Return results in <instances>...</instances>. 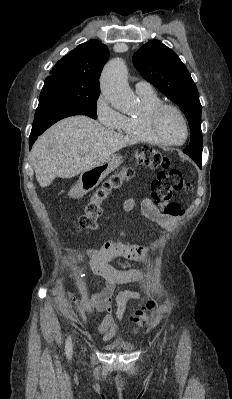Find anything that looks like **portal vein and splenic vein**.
I'll return each instance as SVG.
<instances>
[{
  "label": "portal vein and splenic vein",
  "mask_w": 232,
  "mask_h": 399,
  "mask_svg": "<svg viewBox=\"0 0 232 399\" xmlns=\"http://www.w3.org/2000/svg\"><path fill=\"white\" fill-rule=\"evenodd\" d=\"M89 148H81V152L82 154H86V152H88Z\"/></svg>",
  "instance_id": "1"
}]
</instances>
